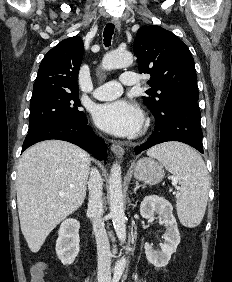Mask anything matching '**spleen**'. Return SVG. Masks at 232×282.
<instances>
[{
    "mask_svg": "<svg viewBox=\"0 0 232 282\" xmlns=\"http://www.w3.org/2000/svg\"><path fill=\"white\" fill-rule=\"evenodd\" d=\"M147 155L158 159L181 185L176 202L180 222L193 228L204 217L208 200V172L201 156L181 143H166L147 151Z\"/></svg>",
    "mask_w": 232,
    "mask_h": 282,
    "instance_id": "obj_1",
    "label": "spleen"
}]
</instances>
